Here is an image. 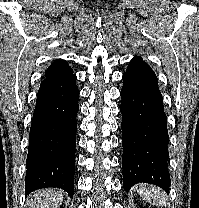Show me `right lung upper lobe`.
<instances>
[{"instance_id": "1", "label": "right lung upper lobe", "mask_w": 199, "mask_h": 208, "mask_svg": "<svg viewBox=\"0 0 199 208\" xmlns=\"http://www.w3.org/2000/svg\"><path fill=\"white\" fill-rule=\"evenodd\" d=\"M70 74H72L71 67H69L65 60L59 59L53 62L47 69L44 81L59 79Z\"/></svg>"}]
</instances>
